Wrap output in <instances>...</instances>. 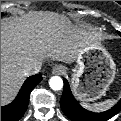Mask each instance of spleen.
<instances>
[{
	"mask_svg": "<svg viewBox=\"0 0 121 121\" xmlns=\"http://www.w3.org/2000/svg\"><path fill=\"white\" fill-rule=\"evenodd\" d=\"M108 104V101H105V102H100V103H93L91 105V107L95 108V109H100L102 107H104L105 105Z\"/></svg>",
	"mask_w": 121,
	"mask_h": 121,
	"instance_id": "1",
	"label": "spleen"
}]
</instances>
